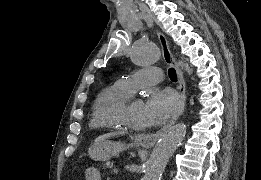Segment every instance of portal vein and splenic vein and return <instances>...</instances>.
I'll return each mask as SVG.
<instances>
[{"label":"portal vein and splenic vein","instance_id":"portal-vein-and-splenic-vein-1","mask_svg":"<svg viewBox=\"0 0 261 180\" xmlns=\"http://www.w3.org/2000/svg\"><path fill=\"white\" fill-rule=\"evenodd\" d=\"M113 175H118V169L113 170Z\"/></svg>","mask_w":261,"mask_h":180}]
</instances>
